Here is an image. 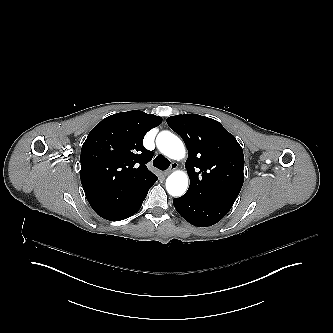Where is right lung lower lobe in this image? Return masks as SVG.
Masks as SVG:
<instances>
[{
    "instance_id": "right-lung-lower-lobe-1",
    "label": "right lung lower lobe",
    "mask_w": 333,
    "mask_h": 333,
    "mask_svg": "<svg viewBox=\"0 0 333 333\" xmlns=\"http://www.w3.org/2000/svg\"><path fill=\"white\" fill-rule=\"evenodd\" d=\"M81 183L88 202L102 218L119 221L134 215L148 190L157 181L151 172L125 178H111L99 168L81 173Z\"/></svg>"
}]
</instances>
